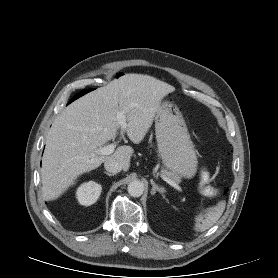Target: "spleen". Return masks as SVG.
I'll use <instances>...</instances> for the list:
<instances>
[{"label":"spleen","mask_w":278,"mask_h":278,"mask_svg":"<svg viewBox=\"0 0 278 278\" xmlns=\"http://www.w3.org/2000/svg\"><path fill=\"white\" fill-rule=\"evenodd\" d=\"M225 205V201H221L207 214L205 218H203L202 216L198 217L196 219L195 230L198 232H202L212 227L222 215L225 209Z\"/></svg>","instance_id":"3e777b00"}]
</instances>
